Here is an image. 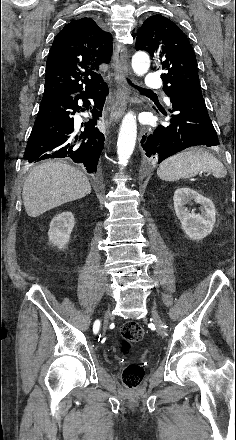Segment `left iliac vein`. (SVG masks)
<instances>
[{
    "label": "left iliac vein",
    "mask_w": 236,
    "mask_h": 440,
    "mask_svg": "<svg viewBox=\"0 0 236 440\" xmlns=\"http://www.w3.org/2000/svg\"><path fill=\"white\" fill-rule=\"evenodd\" d=\"M151 316H152V320L154 322V324L156 325L157 328V332L163 336L164 335V331H163V325H162V321L156 311L155 308H151Z\"/></svg>",
    "instance_id": "1"
}]
</instances>
